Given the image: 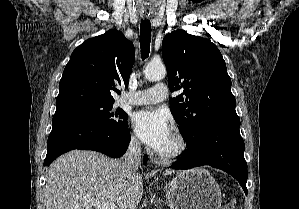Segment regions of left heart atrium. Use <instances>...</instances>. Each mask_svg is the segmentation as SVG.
I'll list each match as a JSON object with an SVG mask.
<instances>
[{"mask_svg":"<svg viewBox=\"0 0 299 209\" xmlns=\"http://www.w3.org/2000/svg\"><path fill=\"white\" fill-rule=\"evenodd\" d=\"M132 125L142 142L158 150L171 134L168 115L161 109H144L132 116Z\"/></svg>","mask_w":299,"mask_h":209,"instance_id":"obj_1","label":"left heart atrium"}]
</instances>
